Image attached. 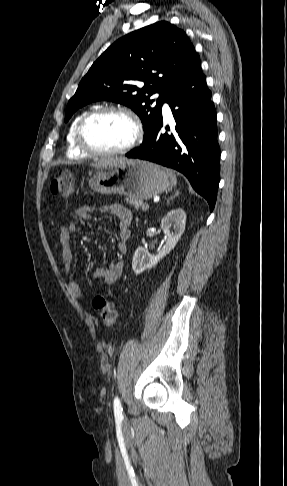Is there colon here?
Masks as SVG:
<instances>
[{
    "label": "colon",
    "mask_w": 287,
    "mask_h": 486,
    "mask_svg": "<svg viewBox=\"0 0 287 486\" xmlns=\"http://www.w3.org/2000/svg\"><path fill=\"white\" fill-rule=\"evenodd\" d=\"M50 192L54 195L69 196L74 190V177L69 171H60L52 179ZM93 307L105 327H112L117 319L115 305L106 297L98 295L93 299Z\"/></svg>",
    "instance_id": "obj_1"
}]
</instances>
